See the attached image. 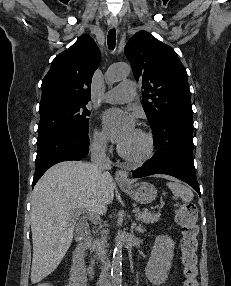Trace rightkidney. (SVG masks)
Listing matches in <instances>:
<instances>
[{
  "instance_id": "ca27d5eb",
  "label": "right kidney",
  "mask_w": 231,
  "mask_h": 286,
  "mask_svg": "<svg viewBox=\"0 0 231 286\" xmlns=\"http://www.w3.org/2000/svg\"><path fill=\"white\" fill-rule=\"evenodd\" d=\"M68 286H87L84 262L79 264L73 259Z\"/></svg>"
}]
</instances>
